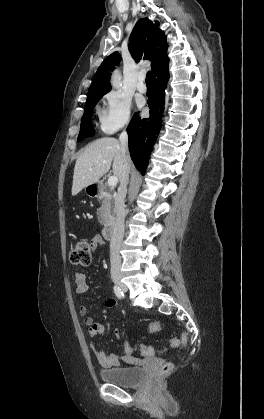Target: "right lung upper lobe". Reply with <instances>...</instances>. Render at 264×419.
I'll list each match as a JSON object with an SVG mask.
<instances>
[{"label": "right lung upper lobe", "instance_id": "obj_1", "mask_svg": "<svg viewBox=\"0 0 264 419\" xmlns=\"http://www.w3.org/2000/svg\"><path fill=\"white\" fill-rule=\"evenodd\" d=\"M159 23L153 24L148 18L140 19L135 25L130 41L129 51L134 59H149L152 61V75H157L168 70L169 58L167 56V42L163 31L159 29ZM120 54L114 52L109 55L98 68L87 99L96 95H104L111 89L110 71L120 62Z\"/></svg>", "mask_w": 264, "mask_h": 419}]
</instances>
